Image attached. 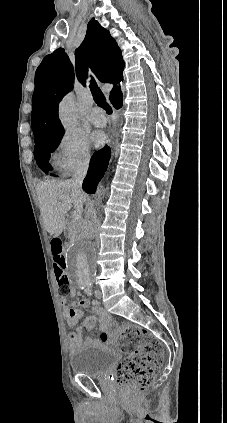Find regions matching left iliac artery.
I'll list each match as a JSON object with an SVG mask.
<instances>
[{"label":"left iliac artery","instance_id":"44dca946","mask_svg":"<svg viewBox=\"0 0 227 423\" xmlns=\"http://www.w3.org/2000/svg\"><path fill=\"white\" fill-rule=\"evenodd\" d=\"M82 289H84V291L87 295H89V296L92 295V283L91 282L83 284Z\"/></svg>","mask_w":227,"mask_h":423}]
</instances>
